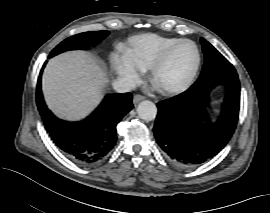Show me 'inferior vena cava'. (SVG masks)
Masks as SVG:
<instances>
[{
    "mask_svg": "<svg viewBox=\"0 0 270 213\" xmlns=\"http://www.w3.org/2000/svg\"><path fill=\"white\" fill-rule=\"evenodd\" d=\"M113 88L118 93H126L136 88V83L126 78H120L113 81Z\"/></svg>",
    "mask_w": 270,
    "mask_h": 213,
    "instance_id": "inferior-vena-cava-1",
    "label": "inferior vena cava"
}]
</instances>
